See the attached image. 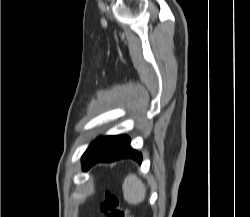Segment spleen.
Here are the masks:
<instances>
[{
  "label": "spleen",
  "mask_w": 250,
  "mask_h": 217,
  "mask_svg": "<svg viewBox=\"0 0 250 217\" xmlns=\"http://www.w3.org/2000/svg\"><path fill=\"white\" fill-rule=\"evenodd\" d=\"M124 199L132 205L140 204L146 196L144 183L134 174H129L122 184Z\"/></svg>",
  "instance_id": "1"
}]
</instances>
